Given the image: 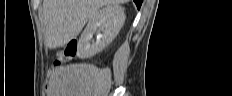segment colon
<instances>
[{
  "label": "colon",
  "instance_id": "obj_1",
  "mask_svg": "<svg viewBox=\"0 0 232 96\" xmlns=\"http://www.w3.org/2000/svg\"><path fill=\"white\" fill-rule=\"evenodd\" d=\"M76 51H77V42L74 40L69 41L65 45V47L58 52L57 64L73 59L76 55Z\"/></svg>",
  "mask_w": 232,
  "mask_h": 96
}]
</instances>
